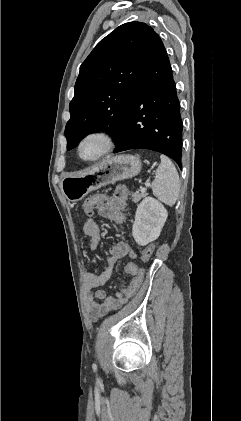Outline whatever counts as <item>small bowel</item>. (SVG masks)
Listing matches in <instances>:
<instances>
[{
  "label": "small bowel",
  "mask_w": 241,
  "mask_h": 421,
  "mask_svg": "<svg viewBox=\"0 0 241 421\" xmlns=\"http://www.w3.org/2000/svg\"><path fill=\"white\" fill-rule=\"evenodd\" d=\"M127 197L128 189L123 185L117 186L114 194L98 207V215L122 223L124 220L122 211L126 207ZM82 229L89 237L90 248L97 249L101 241V229L95 218L86 219ZM126 256L136 257V253L127 242L119 241L110 248L106 266L101 273H85L83 293L87 313L92 321H97L109 311L119 309L127 302L121 293L109 295L101 289L111 278L116 262Z\"/></svg>",
  "instance_id": "1"
}]
</instances>
